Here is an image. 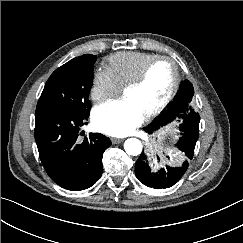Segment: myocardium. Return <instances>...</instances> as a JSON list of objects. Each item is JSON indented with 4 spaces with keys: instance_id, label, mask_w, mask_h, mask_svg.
<instances>
[{
    "instance_id": "f54148a6",
    "label": "myocardium",
    "mask_w": 243,
    "mask_h": 243,
    "mask_svg": "<svg viewBox=\"0 0 243 243\" xmlns=\"http://www.w3.org/2000/svg\"><path fill=\"white\" fill-rule=\"evenodd\" d=\"M161 61H168L172 64L173 69H174V83H173L172 89H171L170 93L168 94V96L166 97V99L160 104V106H158L155 110H153L152 112H150L149 114H147L145 116L146 120H151V119H154V118L158 117L159 115H161L174 101V99L179 91L180 83H181L180 69H179L177 62L173 58L168 57V56H157V57L153 58L143 67V69L140 71V73L137 75V77L134 78L131 82H129L124 87V90H123V92L125 93L127 90L139 88L145 82L151 68L155 64H157L158 62H161Z\"/></svg>"
}]
</instances>
